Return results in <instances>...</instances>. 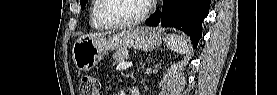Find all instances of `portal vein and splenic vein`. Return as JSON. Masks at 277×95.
I'll return each mask as SVG.
<instances>
[{
    "mask_svg": "<svg viewBox=\"0 0 277 95\" xmlns=\"http://www.w3.org/2000/svg\"><path fill=\"white\" fill-rule=\"evenodd\" d=\"M131 66H132V62H122L116 67V70H124Z\"/></svg>",
    "mask_w": 277,
    "mask_h": 95,
    "instance_id": "18ae733b",
    "label": "portal vein and splenic vein"
}]
</instances>
